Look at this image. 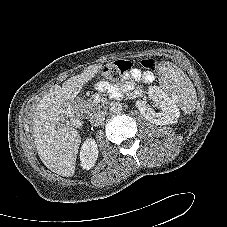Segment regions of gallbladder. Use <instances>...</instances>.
Wrapping results in <instances>:
<instances>
[{"instance_id": "bac80fb5", "label": "gallbladder", "mask_w": 227, "mask_h": 227, "mask_svg": "<svg viewBox=\"0 0 227 227\" xmlns=\"http://www.w3.org/2000/svg\"><path fill=\"white\" fill-rule=\"evenodd\" d=\"M66 124H67L66 120H63L60 122V125H62V126H66Z\"/></svg>"}]
</instances>
